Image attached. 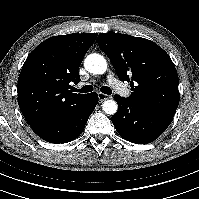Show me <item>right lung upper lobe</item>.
Masks as SVG:
<instances>
[{
  "label": "right lung upper lobe",
  "mask_w": 199,
  "mask_h": 199,
  "mask_svg": "<svg viewBox=\"0 0 199 199\" xmlns=\"http://www.w3.org/2000/svg\"><path fill=\"white\" fill-rule=\"evenodd\" d=\"M96 37L97 33L54 36L29 54L18 78V103L32 128L54 121L86 98L69 88L79 83V66Z\"/></svg>",
  "instance_id": "cb5924a9"
}]
</instances>
